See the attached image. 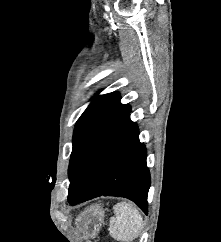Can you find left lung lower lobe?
<instances>
[{"label":"left lung lower lobe","instance_id":"0a47b994","mask_svg":"<svg viewBox=\"0 0 221 242\" xmlns=\"http://www.w3.org/2000/svg\"><path fill=\"white\" fill-rule=\"evenodd\" d=\"M128 114L86 155L70 181L68 202L76 205L98 196L125 197L147 213L150 174L146 148Z\"/></svg>","mask_w":221,"mask_h":242}]
</instances>
